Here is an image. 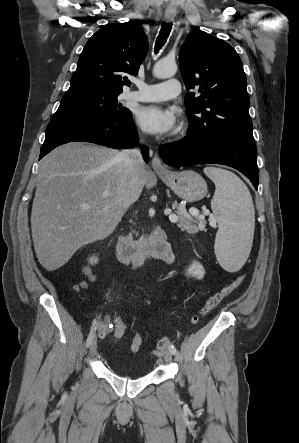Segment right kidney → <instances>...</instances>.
Returning <instances> with one entry per match:
<instances>
[{
    "label": "right kidney",
    "instance_id": "obj_1",
    "mask_svg": "<svg viewBox=\"0 0 299 443\" xmlns=\"http://www.w3.org/2000/svg\"><path fill=\"white\" fill-rule=\"evenodd\" d=\"M89 262H90L91 264H96V263L98 262V258L95 257V256H93V257H91V258L89 259Z\"/></svg>",
    "mask_w": 299,
    "mask_h": 443
}]
</instances>
